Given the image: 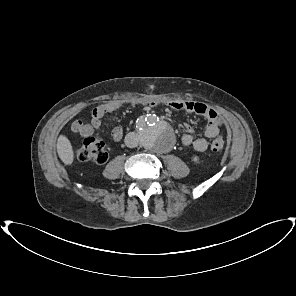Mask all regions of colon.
I'll list each match as a JSON object with an SVG mask.
<instances>
[{"label": "colon", "mask_w": 296, "mask_h": 296, "mask_svg": "<svg viewBox=\"0 0 296 296\" xmlns=\"http://www.w3.org/2000/svg\"><path fill=\"white\" fill-rule=\"evenodd\" d=\"M226 143L222 138L212 141L211 149L215 152L225 148ZM75 157L82 162L104 164L109 158V152L104 141L95 137L85 138L75 150Z\"/></svg>", "instance_id": "5ec220e1"}]
</instances>
